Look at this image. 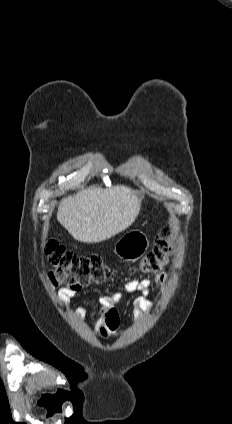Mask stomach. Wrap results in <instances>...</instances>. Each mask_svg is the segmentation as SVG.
<instances>
[{
  "mask_svg": "<svg viewBox=\"0 0 232 424\" xmlns=\"http://www.w3.org/2000/svg\"><path fill=\"white\" fill-rule=\"evenodd\" d=\"M148 246L147 236L142 231L134 230L126 233L118 240L114 252L120 258L133 261L142 257Z\"/></svg>",
  "mask_w": 232,
  "mask_h": 424,
  "instance_id": "stomach-1",
  "label": "stomach"
}]
</instances>
